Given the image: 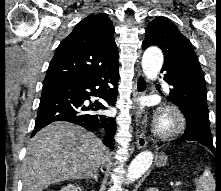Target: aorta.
Here are the masks:
<instances>
[{
	"label": "aorta",
	"mask_w": 221,
	"mask_h": 191,
	"mask_svg": "<svg viewBox=\"0 0 221 191\" xmlns=\"http://www.w3.org/2000/svg\"><path fill=\"white\" fill-rule=\"evenodd\" d=\"M163 53L158 47H150L145 50L142 57V69L148 80L157 78L163 65ZM153 153L143 151L139 153L130 163L127 170V182H133L139 179L151 166Z\"/></svg>",
	"instance_id": "aorta-1"
}]
</instances>
